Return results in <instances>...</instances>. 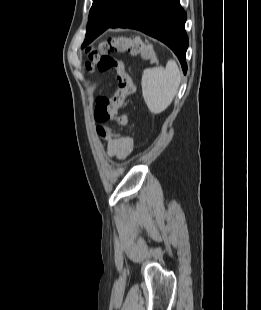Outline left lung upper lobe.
<instances>
[{"mask_svg": "<svg viewBox=\"0 0 261 310\" xmlns=\"http://www.w3.org/2000/svg\"><path fill=\"white\" fill-rule=\"evenodd\" d=\"M124 0H93L88 23L94 21L108 22L117 14Z\"/></svg>", "mask_w": 261, "mask_h": 310, "instance_id": "left-lung-upper-lobe-1", "label": "left lung upper lobe"}]
</instances>
